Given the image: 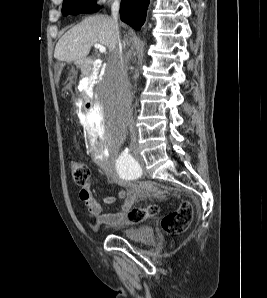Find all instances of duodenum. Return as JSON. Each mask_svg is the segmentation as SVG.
Returning a JSON list of instances; mask_svg holds the SVG:
<instances>
[{
    "label": "duodenum",
    "instance_id": "410a0bca",
    "mask_svg": "<svg viewBox=\"0 0 267 298\" xmlns=\"http://www.w3.org/2000/svg\"><path fill=\"white\" fill-rule=\"evenodd\" d=\"M78 66L80 67L81 76H89L90 79H99V74H95V68L99 67L100 62L85 58L78 61ZM94 88L93 84H86L82 90V99L80 100V105H83L82 115H92V105H94L93 98L96 97L95 93H91L92 89Z\"/></svg>",
    "mask_w": 267,
    "mask_h": 298
}]
</instances>
